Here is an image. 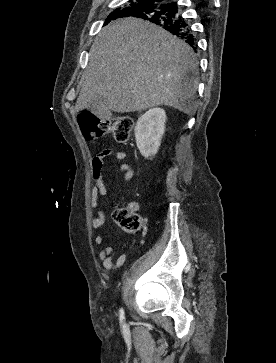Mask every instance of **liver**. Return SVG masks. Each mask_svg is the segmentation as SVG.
<instances>
[{
	"label": "liver",
	"mask_w": 276,
	"mask_h": 363,
	"mask_svg": "<svg viewBox=\"0 0 276 363\" xmlns=\"http://www.w3.org/2000/svg\"><path fill=\"white\" fill-rule=\"evenodd\" d=\"M197 76L196 55L187 43L148 21L118 19L94 39L75 110L101 96L117 113L165 105L191 114Z\"/></svg>",
	"instance_id": "obj_1"
}]
</instances>
